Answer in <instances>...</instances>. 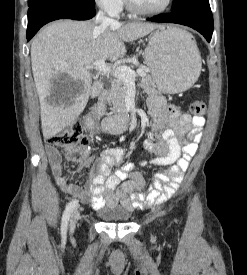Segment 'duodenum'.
Returning <instances> with one entry per match:
<instances>
[{
  "label": "duodenum",
  "mask_w": 247,
  "mask_h": 275,
  "mask_svg": "<svg viewBox=\"0 0 247 275\" xmlns=\"http://www.w3.org/2000/svg\"><path fill=\"white\" fill-rule=\"evenodd\" d=\"M107 100V92L102 91L99 94L97 104L98 106L105 105ZM94 114H90V118H94ZM102 128L105 132L110 134H120L123 133L129 126V115L122 114L112 117H106L101 122Z\"/></svg>",
  "instance_id": "1"
}]
</instances>
